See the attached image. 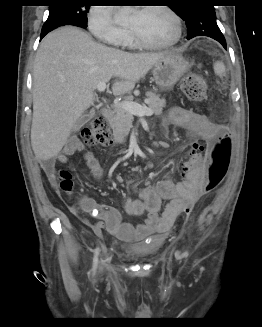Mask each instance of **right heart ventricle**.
I'll list each match as a JSON object with an SVG mask.
<instances>
[{
    "instance_id": "e07e8e85",
    "label": "right heart ventricle",
    "mask_w": 262,
    "mask_h": 327,
    "mask_svg": "<svg viewBox=\"0 0 262 327\" xmlns=\"http://www.w3.org/2000/svg\"><path fill=\"white\" fill-rule=\"evenodd\" d=\"M137 44L135 43V41L133 40L132 36L129 34L127 39H126V42H125V46H128V47H135Z\"/></svg>"
}]
</instances>
